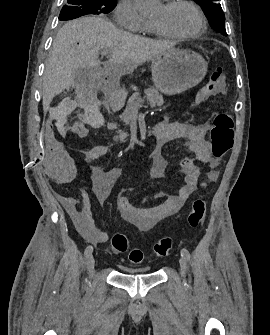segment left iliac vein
Returning a JSON list of instances; mask_svg holds the SVG:
<instances>
[{
  "label": "left iliac vein",
  "instance_id": "1",
  "mask_svg": "<svg viewBox=\"0 0 270 335\" xmlns=\"http://www.w3.org/2000/svg\"><path fill=\"white\" fill-rule=\"evenodd\" d=\"M179 264H180V275L182 278L185 277V274L187 272V262L184 257H180L179 259Z\"/></svg>",
  "mask_w": 270,
  "mask_h": 335
}]
</instances>
